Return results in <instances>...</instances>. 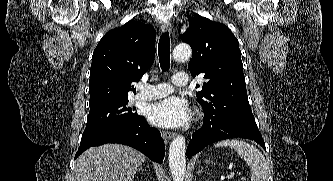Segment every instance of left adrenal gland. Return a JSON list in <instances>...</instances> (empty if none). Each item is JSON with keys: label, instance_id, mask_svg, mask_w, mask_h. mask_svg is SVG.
Masks as SVG:
<instances>
[{"label": "left adrenal gland", "instance_id": "left-adrenal-gland-1", "mask_svg": "<svg viewBox=\"0 0 333 181\" xmlns=\"http://www.w3.org/2000/svg\"><path fill=\"white\" fill-rule=\"evenodd\" d=\"M202 172H205L206 174H208V172H206L203 167L200 168V170L198 171V174H201Z\"/></svg>", "mask_w": 333, "mask_h": 181}]
</instances>
